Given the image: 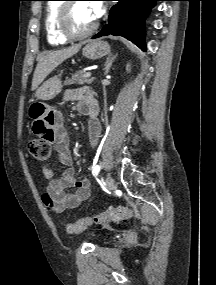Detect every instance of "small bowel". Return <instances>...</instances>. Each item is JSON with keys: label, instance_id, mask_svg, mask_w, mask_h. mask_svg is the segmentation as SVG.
Returning <instances> with one entry per match:
<instances>
[{"label": "small bowel", "instance_id": "small-bowel-1", "mask_svg": "<svg viewBox=\"0 0 216 285\" xmlns=\"http://www.w3.org/2000/svg\"><path fill=\"white\" fill-rule=\"evenodd\" d=\"M65 99L75 101L78 110L85 115H89L90 107L96 108L94 94L87 88L68 91ZM30 116L33 120L31 133L41 136V141H49L55 148L59 162L66 167L60 177H56L50 166L42 167V174L47 181L42 200L51 212L61 213L67 209H74L90 197L91 183L86 178L75 177L71 167L70 139L63 115L44 103H34L30 109ZM89 135L92 144L96 145L100 137V125L94 118L89 123ZM70 188H74V191L69 192Z\"/></svg>", "mask_w": 216, "mask_h": 285}]
</instances>
